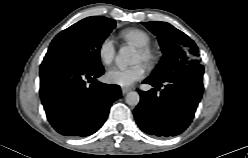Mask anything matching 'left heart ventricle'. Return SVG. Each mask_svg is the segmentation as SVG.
I'll return each instance as SVG.
<instances>
[{
  "instance_id": "1",
  "label": "left heart ventricle",
  "mask_w": 248,
  "mask_h": 158,
  "mask_svg": "<svg viewBox=\"0 0 248 158\" xmlns=\"http://www.w3.org/2000/svg\"><path fill=\"white\" fill-rule=\"evenodd\" d=\"M142 61H143V57H142V55L137 51V52H136V55H135L134 62H135V63H139V62H142Z\"/></svg>"
}]
</instances>
